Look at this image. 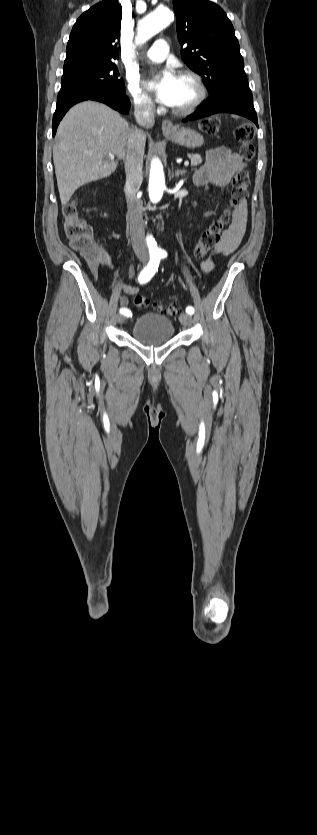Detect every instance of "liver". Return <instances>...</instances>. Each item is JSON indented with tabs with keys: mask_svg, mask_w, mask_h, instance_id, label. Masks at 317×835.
<instances>
[{
	"mask_svg": "<svg viewBox=\"0 0 317 835\" xmlns=\"http://www.w3.org/2000/svg\"><path fill=\"white\" fill-rule=\"evenodd\" d=\"M131 128L108 106L84 101L64 116L56 133L53 161L61 204L66 205L80 186L115 172L126 154Z\"/></svg>",
	"mask_w": 317,
	"mask_h": 835,
	"instance_id": "liver-1",
	"label": "liver"
}]
</instances>
